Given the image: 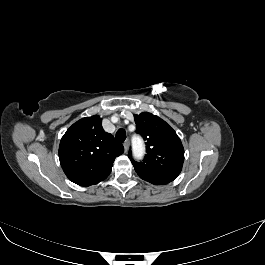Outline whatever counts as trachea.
I'll return each mask as SVG.
<instances>
[{
  "label": "trachea",
  "mask_w": 265,
  "mask_h": 265,
  "mask_svg": "<svg viewBox=\"0 0 265 265\" xmlns=\"http://www.w3.org/2000/svg\"><path fill=\"white\" fill-rule=\"evenodd\" d=\"M116 139L118 142H124L126 139V132L123 129H119L116 132Z\"/></svg>",
  "instance_id": "3493384b"
}]
</instances>
